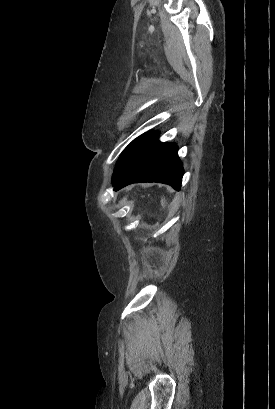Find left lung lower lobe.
<instances>
[{
    "label": "left lung lower lobe",
    "mask_w": 275,
    "mask_h": 409,
    "mask_svg": "<svg viewBox=\"0 0 275 409\" xmlns=\"http://www.w3.org/2000/svg\"><path fill=\"white\" fill-rule=\"evenodd\" d=\"M158 132L145 133L132 147L114 190L137 182H161L180 190L184 173L175 143H161Z\"/></svg>",
    "instance_id": "left-lung-lower-lobe-1"
}]
</instances>
